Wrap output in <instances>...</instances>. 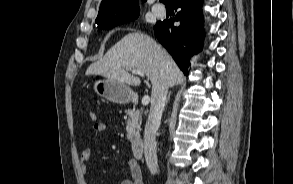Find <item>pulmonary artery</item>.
<instances>
[{"mask_svg":"<svg viewBox=\"0 0 293 184\" xmlns=\"http://www.w3.org/2000/svg\"><path fill=\"white\" fill-rule=\"evenodd\" d=\"M152 11L158 15V16H164L165 15V7L161 4H155L153 7H152Z\"/></svg>","mask_w":293,"mask_h":184,"instance_id":"obj_1","label":"pulmonary artery"}]
</instances>
